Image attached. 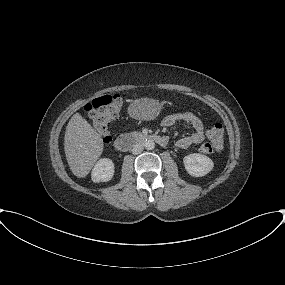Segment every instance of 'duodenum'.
I'll return each instance as SVG.
<instances>
[{
	"mask_svg": "<svg viewBox=\"0 0 285 285\" xmlns=\"http://www.w3.org/2000/svg\"><path fill=\"white\" fill-rule=\"evenodd\" d=\"M154 141L161 146L168 144V139L164 136L155 134H140V135H122L114 141V148L117 151H127L139 142Z\"/></svg>",
	"mask_w": 285,
	"mask_h": 285,
	"instance_id": "1",
	"label": "duodenum"
}]
</instances>
